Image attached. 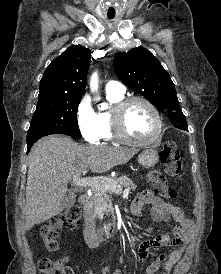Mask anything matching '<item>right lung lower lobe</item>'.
Returning a JSON list of instances; mask_svg holds the SVG:
<instances>
[{"instance_id": "right-lung-lower-lobe-1", "label": "right lung lower lobe", "mask_w": 221, "mask_h": 274, "mask_svg": "<svg viewBox=\"0 0 221 274\" xmlns=\"http://www.w3.org/2000/svg\"><path fill=\"white\" fill-rule=\"evenodd\" d=\"M36 141H37V140L27 143V145H28V152H29V150L31 149L32 145H33Z\"/></svg>"}]
</instances>
